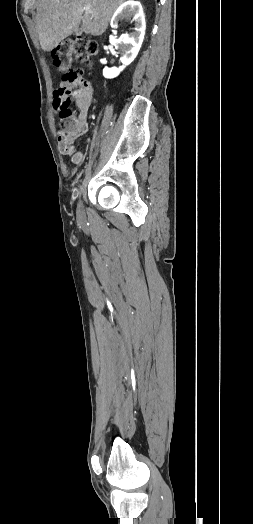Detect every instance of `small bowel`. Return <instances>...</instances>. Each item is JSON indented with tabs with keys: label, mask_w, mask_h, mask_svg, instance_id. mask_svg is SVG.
<instances>
[{
	"label": "small bowel",
	"mask_w": 253,
	"mask_h": 524,
	"mask_svg": "<svg viewBox=\"0 0 253 524\" xmlns=\"http://www.w3.org/2000/svg\"><path fill=\"white\" fill-rule=\"evenodd\" d=\"M63 92L60 89L55 90L54 92V103L55 105L58 104L60 99L62 98ZM93 94L87 96V97H76L75 96V102L77 109L79 111V128L72 132L69 136H62L60 135L58 138L59 148L60 151L69 156L71 158V161L74 164H80L84 158V154L81 151L76 150L73 140L78 137L79 135L86 132L88 125L86 122V115L88 108L92 102Z\"/></svg>",
	"instance_id": "c3829d8e"
}]
</instances>
